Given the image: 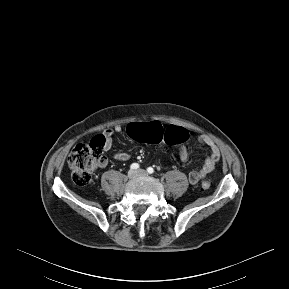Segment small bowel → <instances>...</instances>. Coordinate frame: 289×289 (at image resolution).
Masks as SVG:
<instances>
[{
  "label": "small bowel",
  "instance_id": "obj_1",
  "mask_svg": "<svg viewBox=\"0 0 289 289\" xmlns=\"http://www.w3.org/2000/svg\"><path fill=\"white\" fill-rule=\"evenodd\" d=\"M121 131H122L121 125H116L113 128H110L104 131L102 136L105 139V145H104L105 150H109L111 148L113 134L115 132L118 133ZM198 141L201 144L208 147L209 155L207 156L202 167L199 170H194L189 173V181L192 184L198 183L201 179L205 178L208 174H210L215 169V166L220 159L219 149L212 139H210L207 136L201 135L199 136ZM179 155H180L181 160L187 159L188 151H187L186 146L184 145L181 146ZM129 157H130L129 154L126 152H117L114 154V158L118 161H127ZM105 163H106L105 160H103L100 166H104Z\"/></svg>",
  "mask_w": 289,
  "mask_h": 289
}]
</instances>
